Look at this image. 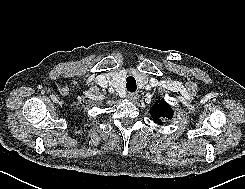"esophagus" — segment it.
<instances>
[{"instance_id":"esophagus-1","label":"esophagus","mask_w":245,"mask_h":189,"mask_svg":"<svg viewBox=\"0 0 245 189\" xmlns=\"http://www.w3.org/2000/svg\"><path fill=\"white\" fill-rule=\"evenodd\" d=\"M127 97L130 101H136L139 98V94L138 93H129Z\"/></svg>"}]
</instances>
